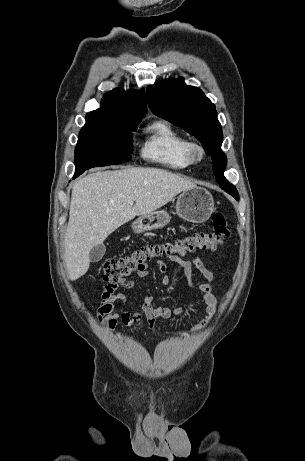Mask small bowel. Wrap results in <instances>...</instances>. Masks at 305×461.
<instances>
[{"label": "small bowel", "mask_w": 305, "mask_h": 461, "mask_svg": "<svg viewBox=\"0 0 305 461\" xmlns=\"http://www.w3.org/2000/svg\"><path fill=\"white\" fill-rule=\"evenodd\" d=\"M169 260L177 264L187 278L188 286L190 288V295L194 292L198 293L205 303V316L195 324L190 333L194 334L205 328L212 321L214 314L217 311V298L213 291L214 287L212 281L214 274L210 269L211 263L204 262L201 258L196 257L193 260H186L180 256L168 257ZM157 270L161 275V283L168 287L171 280L167 275L168 266L165 262H157ZM200 272L206 279L205 283L198 284L193 277L194 271ZM139 278H146L149 273L146 268L136 272ZM135 283L133 280L125 279L122 281L107 284L103 287L100 294V302L97 308V317L109 332H112L118 321L124 325H136L146 319L150 329H154L157 325L158 319H169L173 316L181 315L184 313L185 308L182 306L170 308L165 305L155 307L153 305V297L146 295L142 298L139 308L137 310H126L121 313L116 312V305L125 301V295L118 292V289L130 290L134 288Z\"/></svg>", "instance_id": "small-bowel-1"}]
</instances>
